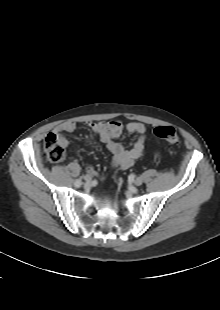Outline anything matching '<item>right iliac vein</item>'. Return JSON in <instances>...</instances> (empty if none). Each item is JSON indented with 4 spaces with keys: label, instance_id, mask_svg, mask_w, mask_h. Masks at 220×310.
I'll list each match as a JSON object with an SVG mask.
<instances>
[{
    "label": "right iliac vein",
    "instance_id": "right-iliac-vein-1",
    "mask_svg": "<svg viewBox=\"0 0 220 310\" xmlns=\"http://www.w3.org/2000/svg\"><path fill=\"white\" fill-rule=\"evenodd\" d=\"M84 180L86 181V183H87V184H90V183H91L92 178H91V176H90V175H86V176L84 177Z\"/></svg>",
    "mask_w": 220,
    "mask_h": 310
}]
</instances>
